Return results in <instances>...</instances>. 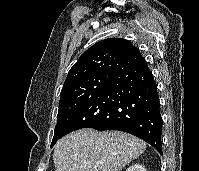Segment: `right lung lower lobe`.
Listing matches in <instances>:
<instances>
[{
	"label": "right lung lower lobe",
	"mask_w": 199,
	"mask_h": 171,
	"mask_svg": "<svg viewBox=\"0 0 199 171\" xmlns=\"http://www.w3.org/2000/svg\"><path fill=\"white\" fill-rule=\"evenodd\" d=\"M82 128L135 135L162 154V117L157 85L146 61L115 75L86 102L62 133Z\"/></svg>",
	"instance_id": "98d812e1"
}]
</instances>
